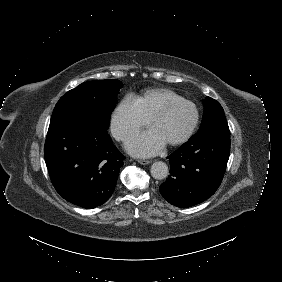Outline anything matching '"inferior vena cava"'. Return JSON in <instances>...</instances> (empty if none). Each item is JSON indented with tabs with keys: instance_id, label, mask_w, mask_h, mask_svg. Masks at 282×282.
Listing matches in <instances>:
<instances>
[{
	"instance_id": "1",
	"label": "inferior vena cava",
	"mask_w": 282,
	"mask_h": 282,
	"mask_svg": "<svg viewBox=\"0 0 282 282\" xmlns=\"http://www.w3.org/2000/svg\"><path fill=\"white\" fill-rule=\"evenodd\" d=\"M112 135H113V137L118 141H122V139L124 138V135H125V133H122V132H115V131H113L112 132Z\"/></svg>"
}]
</instances>
